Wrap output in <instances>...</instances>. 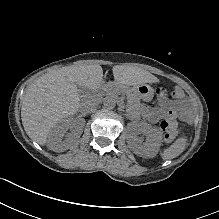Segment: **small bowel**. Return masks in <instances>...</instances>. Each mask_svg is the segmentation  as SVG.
Listing matches in <instances>:
<instances>
[{"label": "small bowel", "instance_id": "obj_1", "mask_svg": "<svg viewBox=\"0 0 219 219\" xmlns=\"http://www.w3.org/2000/svg\"><path fill=\"white\" fill-rule=\"evenodd\" d=\"M156 91L159 99V106L143 107V115L147 120L151 122H156L163 113L172 110L179 111L181 118L184 121L192 120V118L194 117V108L188 98H186L185 96L172 98L165 88H158Z\"/></svg>", "mask_w": 219, "mask_h": 219}]
</instances>
